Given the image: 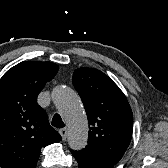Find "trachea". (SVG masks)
Instances as JSON below:
<instances>
[{
	"label": "trachea",
	"mask_w": 168,
	"mask_h": 168,
	"mask_svg": "<svg viewBox=\"0 0 168 168\" xmlns=\"http://www.w3.org/2000/svg\"><path fill=\"white\" fill-rule=\"evenodd\" d=\"M52 125L56 128H63L65 126L59 114H55L52 118Z\"/></svg>",
	"instance_id": "obj_1"
}]
</instances>
